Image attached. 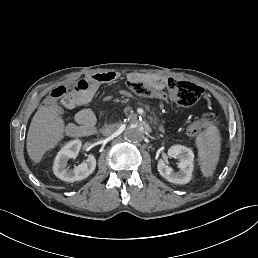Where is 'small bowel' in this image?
<instances>
[{
	"instance_id": "obj_1",
	"label": "small bowel",
	"mask_w": 258,
	"mask_h": 258,
	"mask_svg": "<svg viewBox=\"0 0 258 258\" xmlns=\"http://www.w3.org/2000/svg\"><path fill=\"white\" fill-rule=\"evenodd\" d=\"M97 89L98 86L90 83L88 78L81 79L77 81L76 86L62 99L61 103L67 109L79 107L88 103ZM75 121L85 133L90 134L94 131L96 117L92 110H80L75 116Z\"/></svg>"
}]
</instances>
